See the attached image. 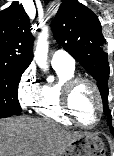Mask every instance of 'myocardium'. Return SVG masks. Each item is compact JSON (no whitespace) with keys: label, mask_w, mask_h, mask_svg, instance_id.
<instances>
[{"label":"myocardium","mask_w":114,"mask_h":156,"mask_svg":"<svg viewBox=\"0 0 114 156\" xmlns=\"http://www.w3.org/2000/svg\"><path fill=\"white\" fill-rule=\"evenodd\" d=\"M81 84H88L94 91L97 100V115L94 122L90 125H85L76 115L72 107V96L76 88ZM61 104L66 115L78 126L83 128H93L95 127L102 116L103 113V99L100 89L95 81L88 77L74 76L73 78L66 81L62 88Z\"/></svg>","instance_id":"f54148a6"}]
</instances>
